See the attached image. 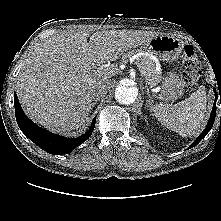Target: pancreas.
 <instances>
[{"mask_svg": "<svg viewBox=\"0 0 221 221\" xmlns=\"http://www.w3.org/2000/svg\"><path fill=\"white\" fill-rule=\"evenodd\" d=\"M132 52L129 54L131 55ZM129 55H126L127 58ZM141 75L145 78L150 86L157 85L161 79V71H157L154 62L148 57L142 56L135 61Z\"/></svg>", "mask_w": 221, "mask_h": 221, "instance_id": "cf45deb5", "label": "pancreas"}]
</instances>
